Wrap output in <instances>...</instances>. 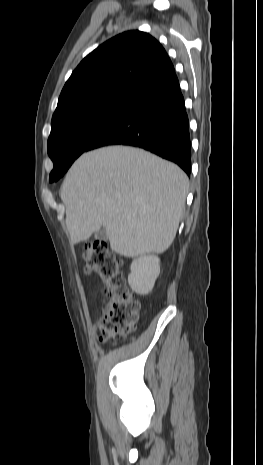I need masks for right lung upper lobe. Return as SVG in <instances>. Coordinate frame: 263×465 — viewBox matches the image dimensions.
<instances>
[{
	"mask_svg": "<svg viewBox=\"0 0 263 465\" xmlns=\"http://www.w3.org/2000/svg\"><path fill=\"white\" fill-rule=\"evenodd\" d=\"M175 73L165 49L151 35L127 31L87 55L66 82L53 117L108 96L136 97Z\"/></svg>",
	"mask_w": 263,
	"mask_h": 465,
	"instance_id": "cb5924a9",
	"label": "right lung upper lobe"
}]
</instances>
